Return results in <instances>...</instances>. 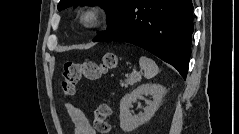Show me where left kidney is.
I'll use <instances>...</instances> for the list:
<instances>
[{
	"mask_svg": "<svg viewBox=\"0 0 239 134\" xmlns=\"http://www.w3.org/2000/svg\"><path fill=\"white\" fill-rule=\"evenodd\" d=\"M166 89L160 84H142L131 93L126 94L120 101V127L124 132L132 131L146 123L152 118L158 109ZM144 96H152L153 100L147 102L143 112L138 115L133 114L130 110L132 103Z\"/></svg>",
	"mask_w": 239,
	"mask_h": 134,
	"instance_id": "1",
	"label": "left kidney"
}]
</instances>
